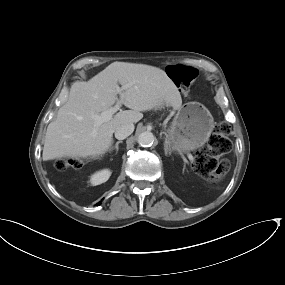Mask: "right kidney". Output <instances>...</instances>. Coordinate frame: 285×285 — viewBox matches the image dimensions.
Returning <instances> with one entry per match:
<instances>
[{"mask_svg":"<svg viewBox=\"0 0 285 285\" xmlns=\"http://www.w3.org/2000/svg\"><path fill=\"white\" fill-rule=\"evenodd\" d=\"M110 176H111V171L108 169H103L101 171L94 173L90 178V182L94 186L100 185L106 182Z\"/></svg>","mask_w":285,"mask_h":285,"instance_id":"ca27d5eb","label":"right kidney"}]
</instances>
